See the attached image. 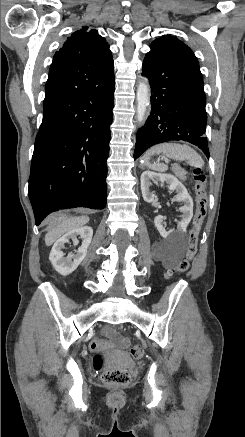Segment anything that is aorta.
<instances>
[{
    "label": "aorta",
    "instance_id": "obj_1",
    "mask_svg": "<svg viewBox=\"0 0 245 437\" xmlns=\"http://www.w3.org/2000/svg\"><path fill=\"white\" fill-rule=\"evenodd\" d=\"M150 103V88L147 81H140L137 88V119L140 125L146 120L147 107Z\"/></svg>",
    "mask_w": 245,
    "mask_h": 437
}]
</instances>
